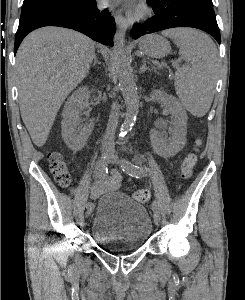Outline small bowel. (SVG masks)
<instances>
[{
  "label": "small bowel",
  "mask_w": 245,
  "mask_h": 300,
  "mask_svg": "<svg viewBox=\"0 0 245 300\" xmlns=\"http://www.w3.org/2000/svg\"><path fill=\"white\" fill-rule=\"evenodd\" d=\"M121 180V174L117 171H113L109 177L99 179L85 190L90 193L91 198H97L107 192L116 191L121 184ZM82 191L83 189L76 188L71 191V194L75 196L80 194Z\"/></svg>",
  "instance_id": "obj_1"
}]
</instances>
